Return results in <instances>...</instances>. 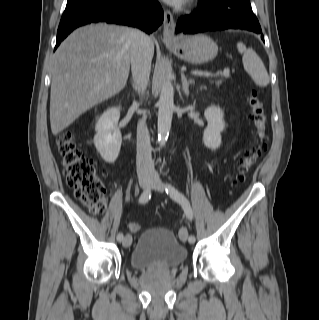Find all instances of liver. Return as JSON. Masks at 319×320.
<instances>
[{"label":"liver","mask_w":319,"mask_h":320,"mask_svg":"<svg viewBox=\"0 0 319 320\" xmlns=\"http://www.w3.org/2000/svg\"><path fill=\"white\" fill-rule=\"evenodd\" d=\"M130 32L125 26L91 24L76 29L60 44L51 66L53 135L125 87L131 64ZM150 53L153 57L152 41Z\"/></svg>","instance_id":"obj_1"}]
</instances>
